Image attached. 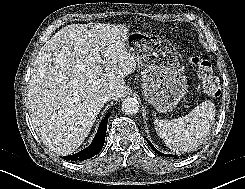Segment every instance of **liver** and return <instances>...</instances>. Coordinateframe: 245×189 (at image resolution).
Returning <instances> with one entry per match:
<instances>
[{
	"mask_svg": "<svg viewBox=\"0 0 245 189\" xmlns=\"http://www.w3.org/2000/svg\"><path fill=\"white\" fill-rule=\"evenodd\" d=\"M129 29L122 24H71L39 51L29 80L28 100L34 128L51 151L69 155L88 136L105 101L126 91L124 77L136 68L125 48ZM100 52L103 66L92 55Z\"/></svg>",
	"mask_w": 245,
	"mask_h": 189,
	"instance_id": "obj_1",
	"label": "liver"
}]
</instances>
